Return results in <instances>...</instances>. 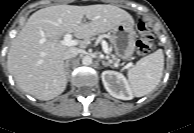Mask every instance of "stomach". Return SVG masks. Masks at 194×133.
I'll return each mask as SVG.
<instances>
[{
  "label": "stomach",
  "mask_w": 194,
  "mask_h": 133,
  "mask_svg": "<svg viewBox=\"0 0 194 133\" xmlns=\"http://www.w3.org/2000/svg\"><path fill=\"white\" fill-rule=\"evenodd\" d=\"M112 40L115 54L118 58L128 60L136 47V32L131 21H123L112 29Z\"/></svg>",
  "instance_id": "1"
}]
</instances>
